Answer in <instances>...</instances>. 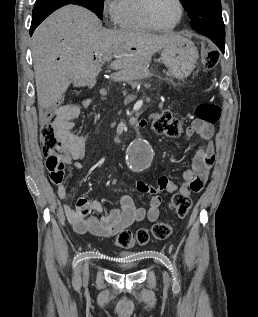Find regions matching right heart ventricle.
I'll list each match as a JSON object with an SVG mask.
<instances>
[{
    "mask_svg": "<svg viewBox=\"0 0 258 317\" xmlns=\"http://www.w3.org/2000/svg\"><path fill=\"white\" fill-rule=\"evenodd\" d=\"M119 1V17L118 25L123 30L133 32L147 33L151 29L148 28L142 20V8L146 0H118Z\"/></svg>",
    "mask_w": 258,
    "mask_h": 317,
    "instance_id": "1",
    "label": "right heart ventricle"
}]
</instances>
